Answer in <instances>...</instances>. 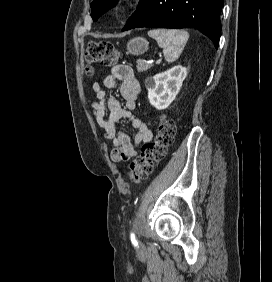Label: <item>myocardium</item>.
Listing matches in <instances>:
<instances>
[{"label": "myocardium", "mask_w": 272, "mask_h": 282, "mask_svg": "<svg viewBox=\"0 0 272 282\" xmlns=\"http://www.w3.org/2000/svg\"><path fill=\"white\" fill-rule=\"evenodd\" d=\"M131 7H132V5H131L130 2H125V3L121 6V8H122L123 11H128V10H130Z\"/></svg>", "instance_id": "f54148a6"}]
</instances>
